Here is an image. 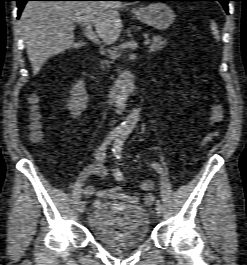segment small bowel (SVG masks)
<instances>
[{"label": "small bowel", "instance_id": "c3829d8e", "mask_svg": "<svg viewBox=\"0 0 247 265\" xmlns=\"http://www.w3.org/2000/svg\"><path fill=\"white\" fill-rule=\"evenodd\" d=\"M91 175H96L100 178H106L108 176V171L102 164H91L82 170L75 182L72 184V189L81 190L82 195L85 198L96 196L100 199L108 198L113 201H125L130 204H137L139 202L138 197L122 193L118 186L106 190H97L92 186H84L85 180ZM153 188L154 183L149 179L142 181L140 184V189L145 192L143 196V202L145 205L152 204L154 200V196L151 193Z\"/></svg>", "mask_w": 247, "mask_h": 265}]
</instances>
